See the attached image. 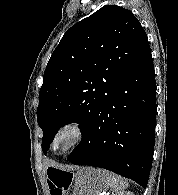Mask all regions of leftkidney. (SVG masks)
I'll use <instances>...</instances> for the list:
<instances>
[{"label":"left kidney","mask_w":178,"mask_h":195,"mask_svg":"<svg viewBox=\"0 0 178 195\" xmlns=\"http://www.w3.org/2000/svg\"><path fill=\"white\" fill-rule=\"evenodd\" d=\"M113 195H134V194L132 192H129V191H121V192L113 194Z\"/></svg>","instance_id":"1"}]
</instances>
